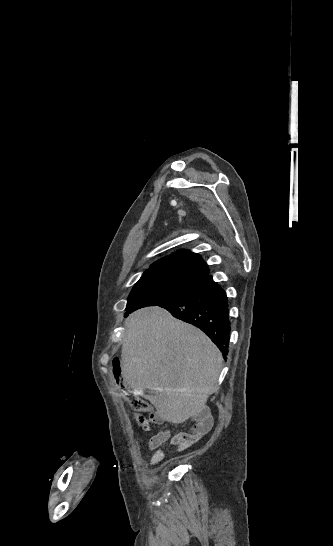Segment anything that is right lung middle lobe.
<instances>
[{
    "label": "right lung middle lobe",
    "mask_w": 333,
    "mask_h": 546,
    "mask_svg": "<svg viewBox=\"0 0 333 546\" xmlns=\"http://www.w3.org/2000/svg\"><path fill=\"white\" fill-rule=\"evenodd\" d=\"M201 280H191L171 275L144 274L133 287L126 311L164 303L198 288Z\"/></svg>",
    "instance_id": "right-lung-middle-lobe-1"
}]
</instances>
